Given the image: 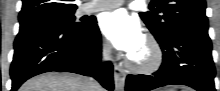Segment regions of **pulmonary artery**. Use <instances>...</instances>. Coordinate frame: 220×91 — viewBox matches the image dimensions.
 <instances>
[{
	"instance_id": "1",
	"label": "pulmonary artery",
	"mask_w": 220,
	"mask_h": 91,
	"mask_svg": "<svg viewBox=\"0 0 220 91\" xmlns=\"http://www.w3.org/2000/svg\"><path fill=\"white\" fill-rule=\"evenodd\" d=\"M123 0H97L92 2L86 9V13H95L99 11L109 10L120 6Z\"/></svg>"
}]
</instances>
